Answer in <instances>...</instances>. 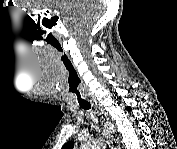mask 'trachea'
I'll return each mask as SVG.
<instances>
[{
	"mask_svg": "<svg viewBox=\"0 0 177 149\" xmlns=\"http://www.w3.org/2000/svg\"><path fill=\"white\" fill-rule=\"evenodd\" d=\"M75 93H76V96L79 100V106L84 110H90L91 109L90 103L89 102L81 103V100H80L81 99V94L77 90L75 91Z\"/></svg>",
	"mask_w": 177,
	"mask_h": 149,
	"instance_id": "3493384b",
	"label": "trachea"
}]
</instances>
